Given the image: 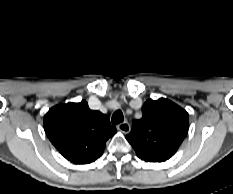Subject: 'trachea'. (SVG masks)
Here are the masks:
<instances>
[{
  "label": "trachea",
  "instance_id": "3493384b",
  "mask_svg": "<svg viewBox=\"0 0 233 194\" xmlns=\"http://www.w3.org/2000/svg\"><path fill=\"white\" fill-rule=\"evenodd\" d=\"M112 124H118V123H121L123 122L124 120V116H123V113L122 111L120 110H117L113 113L112 115Z\"/></svg>",
  "mask_w": 233,
  "mask_h": 194
}]
</instances>
